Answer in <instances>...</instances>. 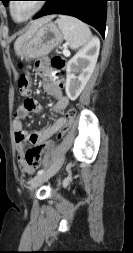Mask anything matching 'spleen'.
Returning <instances> with one entry per match:
<instances>
[{
  "label": "spleen",
  "mask_w": 133,
  "mask_h": 253,
  "mask_svg": "<svg viewBox=\"0 0 133 253\" xmlns=\"http://www.w3.org/2000/svg\"><path fill=\"white\" fill-rule=\"evenodd\" d=\"M56 22L71 49H79L87 45L91 40L92 34L88 25L79 19L72 16L60 15Z\"/></svg>",
  "instance_id": "spleen-1"
}]
</instances>
